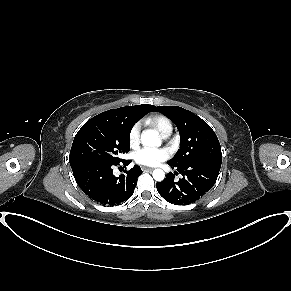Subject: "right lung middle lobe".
<instances>
[{
  "label": "right lung middle lobe",
  "mask_w": 291,
  "mask_h": 291,
  "mask_svg": "<svg viewBox=\"0 0 291 291\" xmlns=\"http://www.w3.org/2000/svg\"><path fill=\"white\" fill-rule=\"evenodd\" d=\"M134 122L125 116L97 115L76 134L70 151L71 168L89 163H118L130 150Z\"/></svg>",
  "instance_id": "1"
}]
</instances>
